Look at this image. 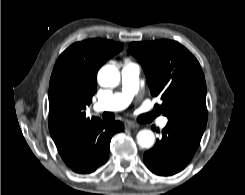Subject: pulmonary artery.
<instances>
[{"instance_id":"pulmonary-artery-1","label":"pulmonary artery","mask_w":245,"mask_h":195,"mask_svg":"<svg viewBox=\"0 0 245 195\" xmlns=\"http://www.w3.org/2000/svg\"><path fill=\"white\" fill-rule=\"evenodd\" d=\"M140 67L132 62H125L121 70V90L94 104L96 111H119L125 109L138 92ZM166 117L159 119V125L165 127Z\"/></svg>"}]
</instances>
